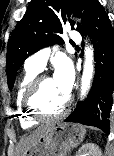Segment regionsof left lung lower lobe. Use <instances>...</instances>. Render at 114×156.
<instances>
[{
  "label": "left lung lower lobe",
  "instance_id": "left-lung-lower-lobe-1",
  "mask_svg": "<svg viewBox=\"0 0 114 156\" xmlns=\"http://www.w3.org/2000/svg\"><path fill=\"white\" fill-rule=\"evenodd\" d=\"M95 47V77L84 102L66 118V122H79L110 132V111L114 90V31L103 6L97 2L91 9L86 25Z\"/></svg>",
  "mask_w": 114,
  "mask_h": 156
}]
</instances>
